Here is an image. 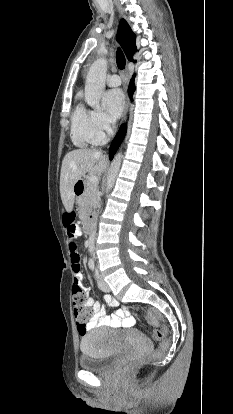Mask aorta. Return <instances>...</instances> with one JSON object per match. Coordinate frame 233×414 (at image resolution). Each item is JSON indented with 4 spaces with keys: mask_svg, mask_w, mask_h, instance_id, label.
Returning <instances> with one entry per match:
<instances>
[{
    "mask_svg": "<svg viewBox=\"0 0 233 414\" xmlns=\"http://www.w3.org/2000/svg\"><path fill=\"white\" fill-rule=\"evenodd\" d=\"M107 60L99 58L95 60L87 74L85 83V101L94 109H100V99L105 88ZM122 154L117 153L111 163L107 176L106 193L114 186L117 174L120 170Z\"/></svg>",
    "mask_w": 233,
    "mask_h": 414,
    "instance_id": "obj_1",
    "label": "aorta"
}]
</instances>
